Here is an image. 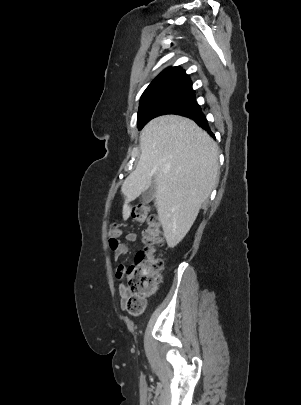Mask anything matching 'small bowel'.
<instances>
[{
	"label": "small bowel",
	"instance_id": "small-bowel-1",
	"mask_svg": "<svg viewBox=\"0 0 301 405\" xmlns=\"http://www.w3.org/2000/svg\"><path fill=\"white\" fill-rule=\"evenodd\" d=\"M125 239L129 242H136L138 240V237L135 233H128L125 235ZM112 250L114 251V258L117 260L121 256L128 253V246L118 239L116 246ZM127 272H128V269L126 266L119 265L116 269V277L119 279H122L125 277ZM119 295L121 298V302H123V300L126 296V287L124 285H121L119 287Z\"/></svg>",
	"mask_w": 301,
	"mask_h": 405
}]
</instances>
